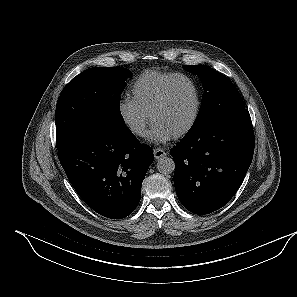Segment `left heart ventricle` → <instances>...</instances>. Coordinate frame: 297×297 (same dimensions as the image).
Segmentation results:
<instances>
[{"instance_id": "obj_1", "label": "left heart ventricle", "mask_w": 297, "mask_h": 297, "mask_svg": "<svg viewBox=\"0 0 297 297\" xmlns=\"http://www.w3.org/2000/svg\"><path fill=\"white\" fill-rule=\"evenodd\" d=\"M195 106V93L185 80L177 81L171 88L166 103L153 117L157 124L171 135L182 129L190 120Z\"/></svg>"}]
</instances>
